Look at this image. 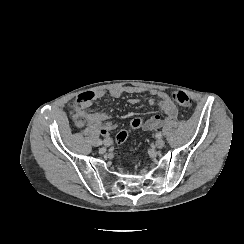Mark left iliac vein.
Instances as JSON below:
<instances>
[{"mask_svg":"<svg viewBox=\"0 0 244 244\" xmlns=\"http://www.w3.org/2000/svg\"><path fill=\"white\" fill-rule=\"evenodd\" d=\"M164 140L163 139H158L156 142H155V145L157 148H163L164 147Z\"/></svg>","mask_w":244,"mask_h":244,"instance_id":"4c4485c4","label":"left iliac vein"}]
</instances>
